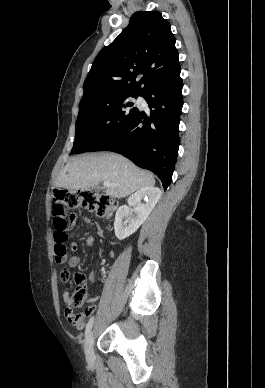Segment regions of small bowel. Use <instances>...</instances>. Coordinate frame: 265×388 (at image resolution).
<instances>
[{
    "instance_id": "obj_1",
    "label": "small bowel",
    "mask_w": 265,
    "mask_h": 388,
    "mask_svg": "<svg viewBox=\"0 0 265 388\" xmlns=\"http://www.w3.org/2000/svg\"><path fill=\"white\" fill-rule=\"evenodd\" d=\"M76 218H77V215H75V214H73V215L71 216V220H72V221H75ZM84 242H85V245H87V246H94V245L97 243V239H96L94 236H87V237L85 238ZM78 263H79V260H78L77 258H75V257H73V258H71V259L69 260V264H70L71 266H76V265H78ZM94 280H95V270H92V271L89 273V281H90V282H94ZM63 297H64V299L66 300V299L69 297L68 292L65 291V292L63 293ZM98 300H99V296H96V297H94V298L91 299V304L88 305V306L86 307V309L84 310V313H83L84 316H88V315H90V314L93 313L94 308H95L94 303H95L96 301H98ZM75 326H76L78 329L82 330V329L84 328V326H85V322H84L83 318H82V319L78 322V324L75 325Z\"/></svg>"
}]
</instances>
